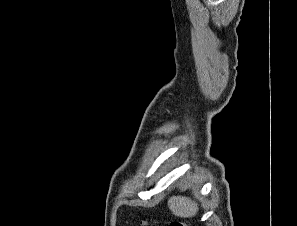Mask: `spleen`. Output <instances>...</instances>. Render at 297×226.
Wrapping results in <instances>:
<instances>
[{"mask_svg":"<svg viewBox=\"0 0 297 226\" xmlns=\"http://www.w3.org/2000/svg\"><path fill=\"white\" fill-rule=\"evenodd\" d=\"M168 207L177 217H193L197 214L199 208L195 201L184 196H172L168 199Z\"/></svg>","mask_w":297,"mask_h":226,"instance_id":"obj_1","label":"spleen"}]
</instances>
